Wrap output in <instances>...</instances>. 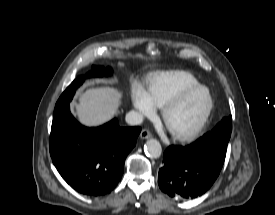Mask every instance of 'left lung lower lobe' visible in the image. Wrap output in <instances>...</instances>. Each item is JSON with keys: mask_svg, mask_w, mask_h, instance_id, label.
Instances as JSON below:
<instances>
[{"mask_svg": "<svg viewBox=\"0 0 275 215\" xmlns=\"http://www.w3.org/2000/svg\"><path fill=\"white\" fill-rule=\"evenodd\" d=\"M163 162L158 173L160 189L170 197L185 200L204 194L223 166L214 158L195 151L193 143L185 147H168Z\"/></svg>", "mask_w": 275, "mask_h": 215, "instance_id": "0a47b994", "label": "left lung lower lobe"}]
</instances>
